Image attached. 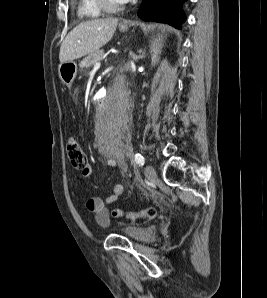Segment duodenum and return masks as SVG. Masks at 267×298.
Wrapping results in <instances>:
<instances>
[{"instance_id": "1", "label": "duodenum", "mask_w": 267, "mask_h": 298, "mask_svg": "<svg viewBox=\"0 0 267 298\" xmlns=\"http://www.w3.org/2000/svg\"><path fill=\"white\" fill-rule=\"evenodd\" d=\"M108 95H106L104 98H95V103L93 107V112H103V109H105V105H109L108 103Z\"/></svg>"}]
</instances>
